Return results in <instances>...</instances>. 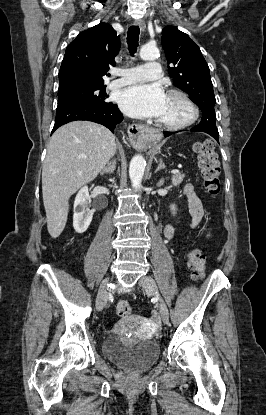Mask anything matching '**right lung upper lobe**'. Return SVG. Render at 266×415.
<instances>
[{"label":"right lung upper lobe","mask_w":266,"mask_h":415,"mask_svg":"<svg viewBox=\"0 0 266 415\" xmlns=\"http://www.w3.org/2000/svg\"><path fill=\"white\" fill-rule=\"evenodd\" d=\"M120 49V38L113 27L100 23L81 32L66 48L59 71L58 93L104 85L102 76Z\"/></svg>","instance_id":"1"}]
</instances>
